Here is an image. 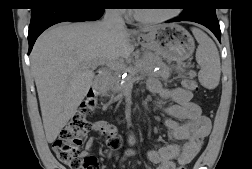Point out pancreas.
<instances>
[{"instance_id":"obj_1","label":"pancreas","mask_w":252,"mask_h":169,"mask_svg":"<svg viewBox=\"0 0 252 169\" xmlns=\"http://www.w3.org/2000/svg\"><path fill=\"white\" fill-rule=\"evenodd\" d=\"M155 67H160L158 72H154ZM129 71L132 77L136 75L158 76L163 80H167L171 74V68L166 65L157 55L149 53L137 60L133 65H129L122 70L114 72L104 80V87L110 89L117 81L120 80L119 75Z\"/></svg>"}]
</instances>
